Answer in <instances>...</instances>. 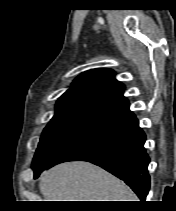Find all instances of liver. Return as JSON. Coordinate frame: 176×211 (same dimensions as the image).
Masks as SVG:
<instances>
[{
    "instance_id": "liver-1",
    "label": "liver",
    "mask_w": 176,
    "mask_h": 211,
    "mask_svg": "<svg viewBox=\"0 0 176 211\" xmlns=\"http://www.w3.org/2000/svg\"><path fill=\"white\" fill-rule=\"evenodd\" d=\"M39 190L46 201H137L123 181L88 162H68L45 171Z\"/></svg>"
}]
</instances>
